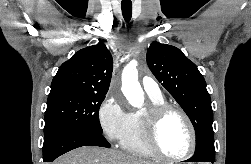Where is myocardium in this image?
I'll use <instances>...</instances> for the list:
<instances>
[{"instance_id": "1", "label": "myocardium", "mask_w": 251, "mask_h": 164, "mask_svg": "<svg viewBox=\"0 0 251 164\" xmlns=\"http://www.w3.org/2000/svg\"><path fill=\"white\" fill-rule=\"evenodd\" d=\"M171 112L178 113L186 122L189 132H190V148L188 152L180 157H172L167 155L161 148L158 140L159 129L164 118ZM142 122L144 127L145 141L149 149L160 159L170 161V162H181L189 159L196 150L197 146V135L195 127L188 116V114L180 107L169 104L162 103L158 105H151L142 115Z\"/></svg>"}]
</instances>
